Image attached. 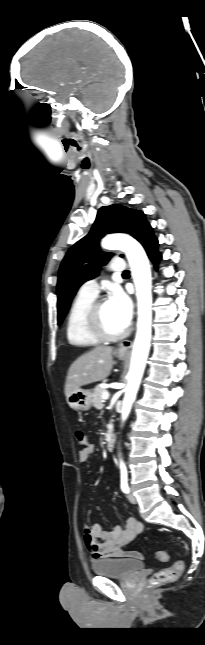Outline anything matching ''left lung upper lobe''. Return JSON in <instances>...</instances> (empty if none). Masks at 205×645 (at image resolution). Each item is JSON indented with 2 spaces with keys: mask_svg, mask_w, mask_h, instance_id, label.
I'll return each instance as SVG.
<instances>
[{
  "mask_svg": "<svg viewBox=\"0 0 205 645\" xmlns=\"http://www.w3.org/2000/svg\"><path fill=\"white\" fill-rule=\"evenodd\" d=\"M149 228L151 226L140 210L119 204L99 209L89 234L69 249L60 266L57 284L58 325L68 312L78 288L96 277L100 267L112 256L101 251L99 240L108 233L119 232L130 234L140 242Z\"/></svg>",
  "mask_w": 205,
  "mask_h": 645,
  "instance_id": "1",
  "label": "left lung upper lobe"
}]
</instances>
